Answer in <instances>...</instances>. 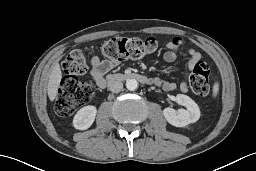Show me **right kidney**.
<instances>
[{"label":"right kidney","instance_id":"ca27d5eb","mask_svg":"<svg viewBox=\"0 0 256 171\" xmlns=\"http://www.w3.org/2000/svg\"><path fill=\"white\" fill-rule=\"evenodd\" d=\"M97 109L95 106L88 105L81 108L73 119V126L78 130L88 129L94 122Z\"/></svg>","mask_w":256,"mask_h":171}]
</instances>
